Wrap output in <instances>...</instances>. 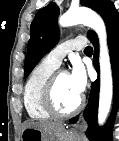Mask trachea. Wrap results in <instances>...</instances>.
Returning a JSON list of instances; mask_svg holds the SVG:
<instances>
[{
	"label": "trachea",
	"mask_w": 119,
	"mask_h": 141,
	"mask_svg": "<svg viewBox=\"0 0 119 141\" xmlns=\"http://www.w3.org/2000/svg\"><path fill=\"white\" fill-rule=\"evenodd\" d=\"M84 51L85 52H93V49L91 46H87Z\"/></svg>",
	"instance_id": "3493384b"
}]
</instances>
